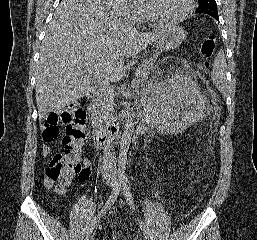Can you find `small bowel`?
Wrapping results in <instances>:
<instances>
[{"mask_svg":"<svg viewBox=\"0 0 257 240\" xmlns=\"http://www.w3.org/2000/svg\"><path fill=\"white\" fill-rule=\"evenodd\" d=\"M44 140H45L46 144L44 145V147L42 149V152H43L44 155H48L50 153V150H51L49 143H51L52 141L47 140L46 138H44ZM83 166L86 169V175L79 178L80 182L86 181L88 179L89 175H90V168L91 167H90L89 161H87V160L83 161Z\"/></svg>","mask_w":257,"mask_h":240,"instance_id":"1","label":"small bowel"}]
</instances>
